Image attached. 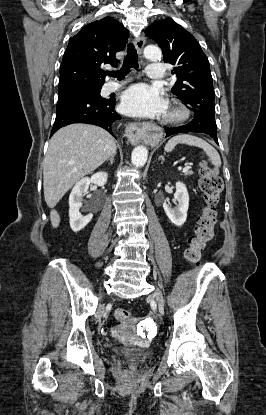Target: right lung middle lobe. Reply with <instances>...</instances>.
<instances>
[{
    "mask_svg": "<svg viewBox=\"0 0 266 415\" xmlns=\"http://www.w3.org/2000/svg\"><path fill=\"white\" fill-rule=\"evenodd\" d=\"M100 91H101V87L81 89V90L59 94L58 99L69 98V97H101Z\"/></svg>",
    "mask_w": 266,
    "mask_h": 415,
    "instance_id": "obj_1",
    "label": "right lung middle lobe"
}]
</instances>
